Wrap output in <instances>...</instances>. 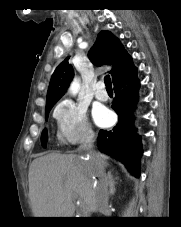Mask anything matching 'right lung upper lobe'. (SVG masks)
<instances>
[{"label":"right lung upper lobe","mask_w":181,"mask_h":227,"mask_svg":"<svg viewBox=\"0 0 181 227\" xmlns=\"http://www.w3.org/2000/svg\"><path fill=\"white\" fill-rule=\"evenodd\" d=\"M127 56L128 54L122 44L109 31H101L98 34L97 40L89 52L90 60L96 65H112V70L110 71L112 79L119 72ZM68 59L69 57L60 63L52 74L47 92L46 106L54 105L60 99L73 78L74 70L68 63Z\"/></svg>","instance_id":"1"}]
</instances>
